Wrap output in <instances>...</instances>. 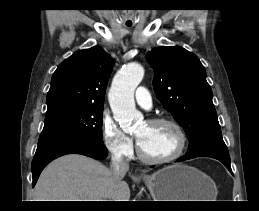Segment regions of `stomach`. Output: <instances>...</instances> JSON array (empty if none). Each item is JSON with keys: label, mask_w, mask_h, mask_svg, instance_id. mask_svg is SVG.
Returning <instances> with one entry per match:
<instances>
[{"label": "stomach", "mask_w": 259, "mask_h": 211, "mask_svg": "<svg viewBox=\"0 0 259 211\" xmlns=\"http://www.w3.org/2000/svg\"><path fill=\"white\" fill-rule=\"evenodd\" d=\"M144 181L154 201H214L217 194L210 177L185 165L165 167Z\"/></svg>", "instance_id": "1"}]
</instances>
